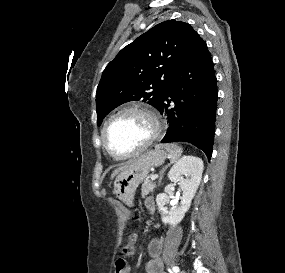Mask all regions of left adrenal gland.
Instances as JSON below:
<instances>
[{
  "instance_id": "left-adrenal-gland-1",
  "label": "left adrenal gland",
  "mask_w": 285,
  "mask_h": 273,
  "mask_svg": "<svg viewBox=\"0 0 285 273\" xmlns=\"http://www.w3.org/2000/svg\"><path fill=\"white\" fill-rule=\"evenodd\" d=\"M168 166H170V164L166 165V166L161 170V172H160V179H159V184H158V185L161 184V180H162V178H163V174H164V172L166 171V169L168 168Z\"/></svg>"
}]
</instances>
